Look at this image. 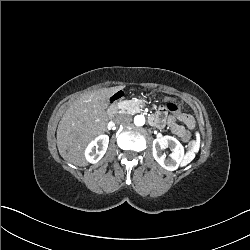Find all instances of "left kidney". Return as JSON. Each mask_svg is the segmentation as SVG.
<instances>
[{"label":"left kidney","mask_w":250,"mask_h":250,"mask_svg":"<svg viewBox=\"0 0 250 250\" xmlns=\"http://www.w3.org/2000/svg\"><path fill=\"white\" fill-rule=\"evenodd\" d=\"M171 148V158H166L162 152L166 147ZM153 157L165 169L174 171L179 168L184 159V147L181 142L171 135L153 141Z\"/></svg>","instance_id":"5707ae66"}]
</instances>
